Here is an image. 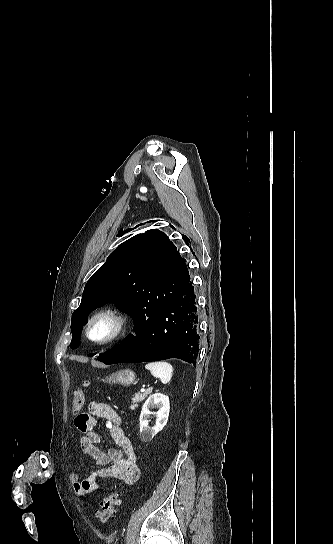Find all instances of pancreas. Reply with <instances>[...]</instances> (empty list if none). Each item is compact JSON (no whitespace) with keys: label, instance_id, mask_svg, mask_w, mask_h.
Listing matches in <instances>:
<instances>
[{"label":"pancreas","instance_id":"obj_1","mask_svg":"<svg viewBox=\"0 0 333 544\" xmlns=\"http://www.w3.org/2000/svg\"><path fill=\"white\" fill-rule=\"evenodd\" d=\"M150 393L151 391L148 390L143 394H135V396L132 398L130 409L134 410L138 406V403L142 402Z\"/></svg>","mask_w":333,"mask_h":544}]
</instances>
